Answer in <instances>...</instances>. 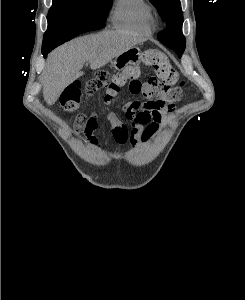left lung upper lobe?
<instances>
[{"mask_svg": "<svg viewBox=\"0 0 245 300\" xmlns=\"http://www.w3.org/2000/svg\"><path fill=\"white\" fill-rule=\"evenodd\" d=\"M158 10L167 27L158 33V39L173 49L179 57L185 49V37L182 34L183 12L180 0H149Z\"/></svg>", "mask_w": 245, "mask_h": 300, "instance_id": "left-lung-upper-lobe-1", "label": "left lung upper lobe"}]
</instances>
